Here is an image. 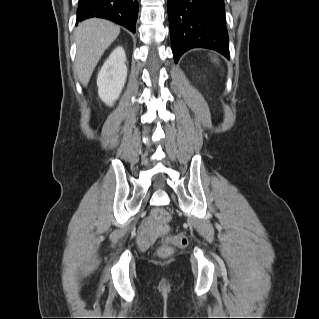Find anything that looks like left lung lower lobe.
I'll use <instances>...</instances> for the list:
<instances>
[{"label": "left lung lower lobe", "instance_id": "1", "mask_svg": "<svg viewBox=\"0 0 319 319\" xmlns=\"http://www.w3.org/2000/svg\"><path fill=\"white\" fill-rule=\"evenodd\" d=\"M174 61L189 49L215 50L229 58L224 0H167Z\"/></svg>", "mask_w": 319, "mask_h": 319}]
</instances>
